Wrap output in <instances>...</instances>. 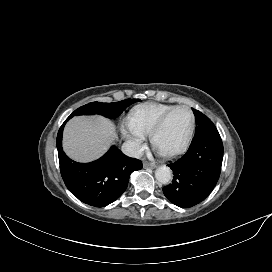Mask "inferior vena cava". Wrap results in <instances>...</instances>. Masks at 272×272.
Segmentation results:
<instances>
[{
  "mask_svg": "<svg viewBox=\"0 0 272 272\" xmlns=\"http://www.w3.org/2000/svg\"><path fill=\"white\" fill-rule=\"evenodd\" d=\"M122 152L129 156V157H133V158H141L143 156V151L140 148V146L133 142V141H126L123 145H122Z\"/></svg>",
  "mask_w": 272,
  "mask_h": 272,
  "instance_id": "602c4592",
  "label": "inferior vena cava"
}]
</instances>
